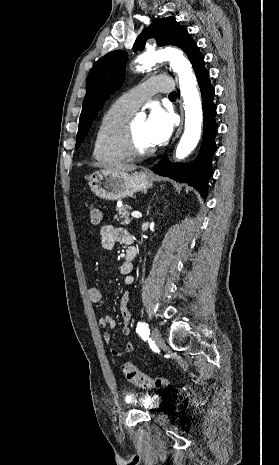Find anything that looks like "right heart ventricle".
<instances>
[{
	"label": "right heart ventricle",
	"mask_w": 279,
	"mask_h": 465,
	"mask_svg": "<svg viewBox=\"0 0 279 465\" xmlns=\"http://www.w3.org/2000/svg\"><path fill=\"white\" fill-rule=\"evenodd\" d=\"M132 113L117 102L105 111L95 135L92 152L95 160L101 163H112L125 158L116 148L115 141Z\"/></svg>",
	"instance_id": "obj_1"
}]
</instances>
